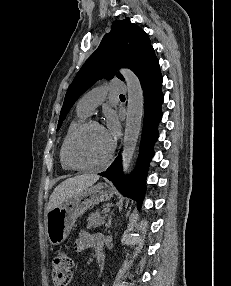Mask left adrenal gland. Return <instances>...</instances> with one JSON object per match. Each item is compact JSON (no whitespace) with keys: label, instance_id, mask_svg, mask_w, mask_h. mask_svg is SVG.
<instances>
[{"label":"left adrenal gland","instance_id":"obj_1","mask_svg":"<svg viewBox=\"0 0 231 286\" xmlns=\"http://www.w3.org/2000/svg\"><path fill=\"white\" fill-rule=\"evenodd\" d=\"M111 225H112V216L110 215V216L108 217V221H107V223H106V230H107L108 228H110Z\"/></svg>","mask_w":231,"mask_h":286}]
</instances>
